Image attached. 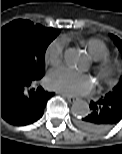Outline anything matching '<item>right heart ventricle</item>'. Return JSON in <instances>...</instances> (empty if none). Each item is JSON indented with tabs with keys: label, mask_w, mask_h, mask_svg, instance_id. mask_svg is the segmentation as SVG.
Returning a JSON list of instances; mask_svg holds the SVG:
<instances>
[{
	"label": "right heart ventricle",
	"mask_w": 122,
	"mask_h": 154,
	"mask_svg": "<svg viewBox=\"0 0 122 154\" xmlns=\"http://www.w3.org/2000/svg\"><path fill=\"white\" fill-rule=\"evenodd\" d=\"M69 39V37L64 38L65 41H68ZM80 43L87 49L89 56L93 61L105 59L110 54L107 45L98 39L81 40Z\"/></svg>",
	"instance_id": "1"
}]
</instances>
